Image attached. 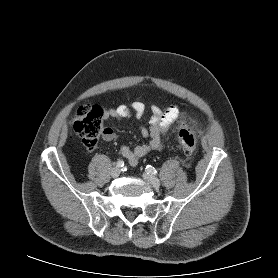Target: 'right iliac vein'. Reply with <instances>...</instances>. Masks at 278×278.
<instances>
[{
	"label": "right iliac vein",
	"instance_id": "1",
	"mask_svg": "<svg viewBox=\"0 0 278 278\" xmlns=\"http://www.w3.org/2000/svg\"><path fill=\"white\" fill-rule=\"evenodd\" d=\"M120 172H121V170H120L119 167H114V168L111 169V176L113 178H116L120 175Z\"/></svg>",
	"mask_w": 278,
	"mask_h": 278
}]
</instances>
